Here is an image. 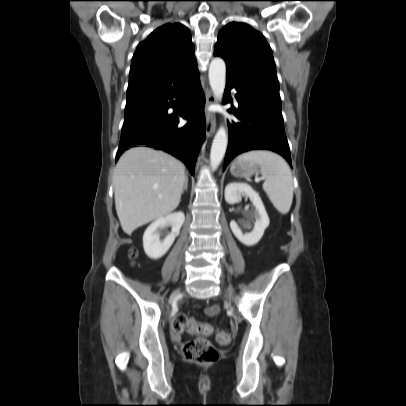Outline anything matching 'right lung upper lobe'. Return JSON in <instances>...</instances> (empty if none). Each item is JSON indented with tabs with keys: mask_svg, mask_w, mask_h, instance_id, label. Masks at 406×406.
Segmentation results:
<instances>
[{
	"mask_svg": "<svg viewBox=\"0 0 406 406\" xmlns=\"http://www.w3.org/2000/svg\"><path fill=\"white\" fill-rule=\"evenodd\" d=\"M198 74L189 30L180 23L165 24L139 43L133 55L126 106L159 99Z\"/></svg>",
	"mask_w": 406,
	"mask_h": 406,
	"instance_id": "obj_1",
	"label": "right lung upper lobe"
}]
</instances>
